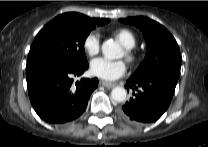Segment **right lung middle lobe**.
Segmentation results:
<instances>
[{"instance_id": "dd1d6c3e", "label": "right lung middle lobe", "mask_w": 208, "mask_h": 147, "mask_svg": "<svg viewBox=\"0 0 208 147\" xmlns=\"http://www.w3.org/2000/svg\"><path fill=\"white\" fill-rule=\"evenodd\" d=\"M109 22L91 23L73 16H57L36 35L27 59V66L34 63L58 60L76 66L88 65L84 43L96 26Z\"/></svg>"}]
</instances>
